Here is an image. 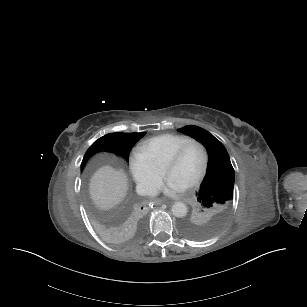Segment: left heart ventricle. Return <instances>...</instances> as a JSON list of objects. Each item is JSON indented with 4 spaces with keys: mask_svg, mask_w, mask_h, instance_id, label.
Here are the masks:
<instances>
[{
    "mask_svg": "<svg viewBox=\"0 0 307 307\" xmlns=\"http://www.w3.org/2000/svg\"><path fill=\"white\" fill-rule=\"evenodd\" d=\"M204 153L200 144H191L182 158L166 168V175L174 176L188 185L202 170Z\"/></svg>",
    "mask_w": 307,
    "mask_h": 307,
    "instance_id": "1",
    "label": "left heart ventricle"
}]
</instances>
